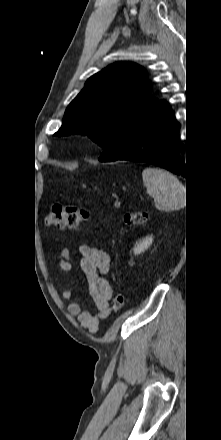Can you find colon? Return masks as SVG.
I'll return each instance as SVG.
<instances>
[{
	"label": "colon",
	"mask_w": 221,
	"mask_h": 440,
	"mask_svg": "<svg viewBox=\"0 0 221 440\" xmlns=\"http://www.w3.org/2000/svg\"><path fill=\"white\" fill-rule=\"evenodd\" d=\"M90 217V213L85 209H80L72 205H53L47 216L46 224L50 227L59 229L76 228L82 222H86ZM147 214L143 211L127 212L122 216L121 222L125 227H134L143 224L146 221ZM125 305V297L123 294H116L112 310L120 311Z\"/></svg>",
	"instance_id": "1"
}]
</instances>
